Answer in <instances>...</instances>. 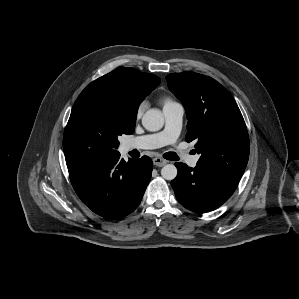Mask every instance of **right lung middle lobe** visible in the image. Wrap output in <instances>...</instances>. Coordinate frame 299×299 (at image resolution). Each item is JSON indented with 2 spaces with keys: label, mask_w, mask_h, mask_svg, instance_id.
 Returning a JSON list of instances; mask_svg holds the SVG:
<instances>
[{
  "label": "right lung middle lobe",
  "mask_w": 299,
  "mask_h": 299,
  "mask_svg": "<svg viewBox=\"0 0 299 299\" xmlns=\"http://www.w3.org/2000/svg\"><path fill=\"white\" fill-rule=\"evenodd\" d=\"M136 118L123 109L122 101L96 89H84L73 105L63 136L66 160L92 161L119 153L118 137L131 135Z\"/></svg>",
  "instance_id": "obj_1"
}]
</instances>
